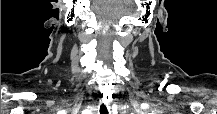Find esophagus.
<instances>
[{
  "mask_svg": "<svg viewBox=\"0 0 217 114\" xmlns=\"http://www.w3.org/2000/svg\"><path fill=\"white\" fill-rule=\"evenodd\" d=\"M111 108H110V102L107 99H103L100 101L99 104V113L100 114H107L108 112L110 113Z\"/></svg>",
  "mask_w": 217,
  "mask_h": 114,
  "instance_id": "esophagus-1",
  "label": "esophagus"
}]
</instances>
